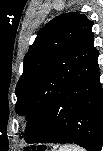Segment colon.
Instances as JSON below:
<instances>
[{
  "label": "colon",
  "mask_w": 103,
  "mask_h": 151,
  "mask_svg": "<svg viewBox=\"0 0 103 151\" xmlns=\"http://www.w3.org/2000/svg\"><path fill=\"white\" fill-rule=\"evenodd\" d=\"M25 151H30L28 149H26ZM31 151H45L44 148H37V149H32Z\"/></svg>",
  "instance_id": "1"
}]
</instances>
